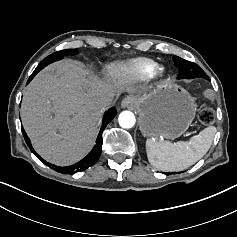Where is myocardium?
I'll return each mask as SVG.
<instances>
[{"mask_svg": "<svg viewBox=\"0 0 237 237\" xmlns=\"http://www.w3.org/2000/svg\"><path fill=\"white\" fill-rule=\"evenodd\" d=\"M153 75L156 77H160V78L164 77V75H165L164 68L162 66L155 67Z\"/></svg>", "mask_w": 237, "mask_h": 237, "instance_id": "myocardium-1", "label": "myocardium"}]
</instances>
